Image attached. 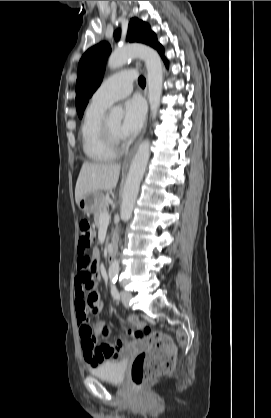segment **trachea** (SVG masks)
I'll return each mask as SVG.
<instances>
[{"label":"trachea","mask_w":271,"mask_h":418,"mask_svg":"<svg viewBox=\"0 0 271 418\" xmlns=\"http://www.w3.org/2000/svg\"><path fill=\"white\" fill-rule=\"evenodd\" d=\"M138 83H139V85H140L141 87H145V85H146V80H145V78H144V77H142V76H140V77H139V79H138Z\"/></svg>","instance_id":"1"}]
</instances>
